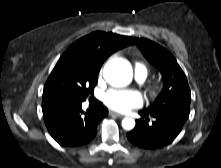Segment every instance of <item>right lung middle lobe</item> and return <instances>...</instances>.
I'll list each match as a JSON object with an SVG mask.
<instances>
[{
    "instance_id": "1",
    "label": "right lung middle lobe",
    "mask_w": 221,
    "mask_h": 168,
    "mask_svg": "<svg viewBox=\"0 0 221 168\" xmlns=\"http://www.w3.org/2000/svg\"><path fill=\"white\" fill-rule=\"evenodd\" d=\"M100 68L90 59L62 55L44 85L43 97L86 100L97 84Z\"/></svg>"
}]
</instances>
